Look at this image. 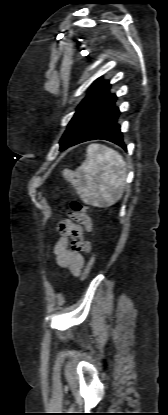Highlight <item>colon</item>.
I'll use <instances>...</instances> for the list:
<instances>
[{
	"instance_id": "1",
	"label": "colon",
	"mask_w": 168,
	"mask_h": 415,
	"mask_svg": "<svg viewBox=\"0 0 168 415\" xmlns=\"http://www.w3.org/2000/svg\"><path fill=\"white\" fill-rule=\"evenodd\" d=\"M70 209L72 210H81V212L82 213H86L87 212V206L84 204V203H82L80 200H77V199H74V200H72L71 202H70ZM93 264H94V256H93V254L90 256V258H89V260H88V262H87V265H86V267H85V270H84V274H83V278L85 279V278H87V276L89 275V273H90V271H91V269H92V267H93Z\"/></svg>"
}]
</instances>
